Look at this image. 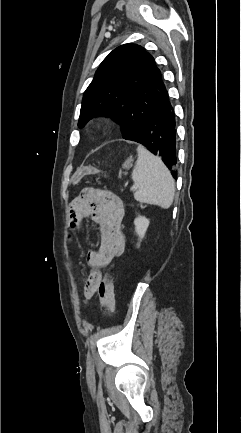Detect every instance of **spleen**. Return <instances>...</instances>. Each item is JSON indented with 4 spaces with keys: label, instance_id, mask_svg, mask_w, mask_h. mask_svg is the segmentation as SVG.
<instances>
[{
    "label": "spleen",
    "instance_id": "obj_1",
    "mask_svg": "<svg viewBox=\"0 0 241 433\" xmlns=\"http://www.w3.org/2000/svg\"><path fill=\"white\" fill-rule=\"evenodd\" d=\"M138 159L132 179L139 189L134 198L140 203L168 209L174 199V179L162 160L143 146L137 147Z\"/></svg>",
    "mask_w": 241,
    "mask_h": 433
}]
</instances>
